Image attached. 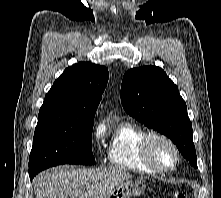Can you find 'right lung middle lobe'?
I'll use <instances>...</instances> for the list:
<instances>
[{
    "mask_svg": "<svg viewBox=\"0 0 221 198\" xmlns=\"http://www.w3.org/2000/svg\"><path fill=\"white\" fill-rule=\"evenodd\" d=\"M92 128H36L29 157V176L60 164L93 165Z\"/></svg>",
    "mask_w": 221,
    "mask_h": 198,
    "instance_id": "right-lung-middle-lobe-1",
    "label": "right lung middle lobe"
}]
</instances>
